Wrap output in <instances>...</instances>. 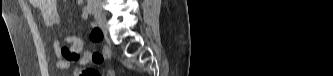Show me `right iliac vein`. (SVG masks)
I'll use <instances>...</instances> for the list:
<instances>
[{"label": "right iliac vein", "instance_id": "1", "mask_svg": "<svg viewBox=\"0 0 333 76\" xmlns=\"http://www.w3.org/2000/svg\"><path fill=\"white\" fill-rule=\"evenodd\" d=\"M91 8V11L94 15L95 20L97 21V23L102 27L105 28L106 27V16L101 8L100 5L98 4H90L89 5Z\"/></svg>", "mask_w": 333, "mask_h": 76}]
</instances>
